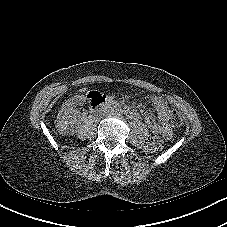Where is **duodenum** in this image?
<instances>
[{
	"label": "duodenum",
	"mask_w": 227,
	"mask_h": 227,
	"mask_svg": "<svg viewBox=\"0 0 227 227\" xmlns=\"http://www.w3.org/2000/svg\"><path fill=\"white\" fill-rule=\"evenodd\" d=\"M87 102L94 111H97L105 105L106 99L100 93L94 92L88 96ZM126 115L134 120L138 118V113L135 111H126Z\"/></svg>",
	"instance_id": "1"
}]
</instances>
